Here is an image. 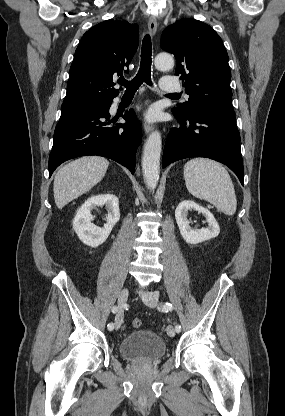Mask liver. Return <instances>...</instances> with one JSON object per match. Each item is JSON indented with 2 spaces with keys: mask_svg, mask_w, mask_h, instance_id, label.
Wrapping results in <instances>:
<instances>
[{
  "mask_svg": "<svg viewBox=\"0 0 285 416\" xmlns=\"http://www.w3.org/2000/svg\"><path fill=\"white\" fill-rule=\"evenodd\" d=\"M108 166L109 162L105 158L85 156L60 168L54 178L53 188L57 208L62 210L66 204L89 192L103 180Z\"/></svg>",
  "mask_w": 285,
  "mask_h": 416,
  "instance_id": "liver-1",
  "label": "liver"
}]
</instances>
